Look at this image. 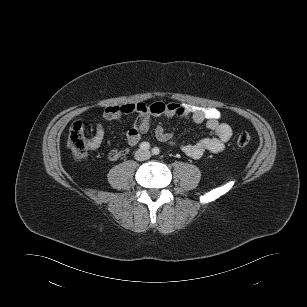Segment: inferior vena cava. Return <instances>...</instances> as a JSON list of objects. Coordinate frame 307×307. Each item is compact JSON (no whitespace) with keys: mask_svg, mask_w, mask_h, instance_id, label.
<instances>
[{"mask_svg":"<svg viewBox=\"0 0 307 307\" xmlns=\"http://www.w3.org/2000/svg\"><path fill=\"white\" fill-rule=\"evenodd\" d=\"M145 154H146V158H149V153L145 152ZM137 159L141 160V159H139V157Z\"/></svg>","mask_w":307,"mask_h":307,"instance_id":"1","label":"inferior vena cava"}]
</instances>
